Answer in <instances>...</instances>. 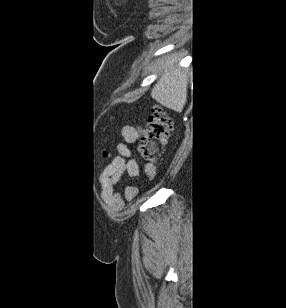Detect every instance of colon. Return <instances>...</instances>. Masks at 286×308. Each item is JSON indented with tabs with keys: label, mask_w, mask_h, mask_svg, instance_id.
Masks as SVG:
<instances>
[{
	"label": "colon",
	"mask_w": 286,
	"mask_h": 308,
	"mask_svg": "<svg viewBox=\"0 0 286 308\" xmlns=\"http://www.w3.org/2000/svg\"><path fill=\"white\" fill-rule=\"evenodd\" d=\"M173 125V121L163 109L155 108L153 110L138 145V151L142 158L154 161L158 157L171 135Z\"/></svg>",
	"instance_id": "5ec220e1"
}]
</instances>
